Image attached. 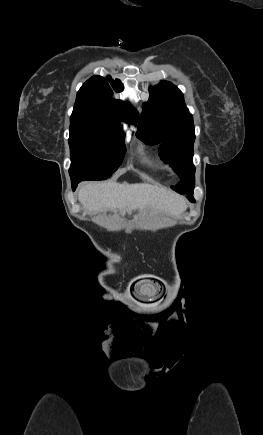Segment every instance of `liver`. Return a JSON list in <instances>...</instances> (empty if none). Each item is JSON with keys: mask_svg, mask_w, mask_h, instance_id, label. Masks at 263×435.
Returning <instances> with one entry per match:
<instances>
[{"mask_svg": "<svg viewBox=\"0 0 263 435\" xmlns=\"http://www.w3.org/2000/svg\"><path fill=\"white\" fill-rule=\"evenodd\" d=\"M78 200L89 212L119 209L124 214L125 211L149 207L178 215L187 208L186 201L180 195L143 183H86L79 189Z\"/></svg>", "mask_w": 263, "mask_h": 435, "instance_id": "liver-1", "label": "liver"}]
</instances>
